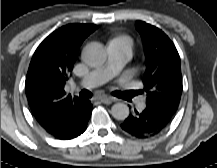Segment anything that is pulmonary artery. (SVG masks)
<instances>
[{
  "label": "pulmonary artery",
  "mask_w": 217,
  "mask_h": 168,
  "mask_svg": "<svg viewBox=\"0 0 217 168\" xmlns=\"http://www.w3.org/2000/svg\"><path fill=\"white\" fill-rule=\"evenodd\" d=\"M131 59V49L124 42H110L108 44V61L107 63L86 75L81 83L85 87H94L106 83L113 77L120 74L128 61ZM146 107L145 99L138 103L139 109Z\"/></svg>",
  "instance_id": "obj_1"
}]
</instances>
